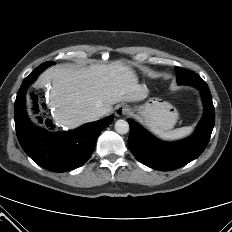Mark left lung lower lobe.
Returning a JSON list of instances; mask_svg holds the SVG:
<instances>
[{"mask_svg":"<svg viewBox=\"0 0 232 232\" xmlns=\"http://www.w3.org/2000/svg\"><path fill=\"white\" fill-rule=\"evenodd\" d=\"M188 72V79L182 84L198 88L204 104L203 117L192 136L178 142H162L132 119L127 120L130 125L128 146L136 159L148 167L160 171L178 169L196 159L209 142L215 123L212 96L206 82L199 75Z\"/></svg>","mask_w":232,"mask_h":232,"instance_id":"left-lung-lower-lobe-1","label":"left lung lower lobe"}]
</instances>
